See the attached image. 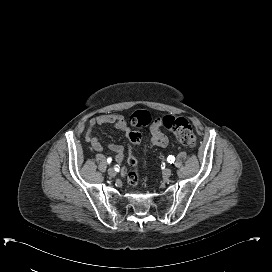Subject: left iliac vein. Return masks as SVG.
<instances>
[{"label": "left iliac vein", "mask_w": 272, "mask_h": 272, "mask_svg": "<svg viewBox=\"0 0 272 272\" xmlns=\"http://www.w3.org/2000/svg\"><path fill=\"white\" fill-rule=\"evenodd\" d=\"M171 174H172V170L170 168H166L162 173L164 178H169Z\"/></svg>", "instance_id": "obj_1"}]
</instances>
